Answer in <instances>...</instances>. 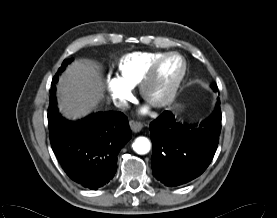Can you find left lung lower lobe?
Wrapping results in <instances>:
<instances>
[{
	"label": "left lung lower lobe",
	"instance_id": "0a47b994",
	"mask_svg": "<svg viewBox=\"0 0 277 218\" xmlns=\"http://www.w3.org/2000/svg\"><path fill=\"white\" fill-rule=\"evenodd\" d=\"M220 100L199 124L182 125L170 111L150 124L153 175L166 186L185 184L200 176L212 161L221 130Z\"/></svg>",
	"mask_w": 277,
	"mask_h": 218
}]
</instances>
